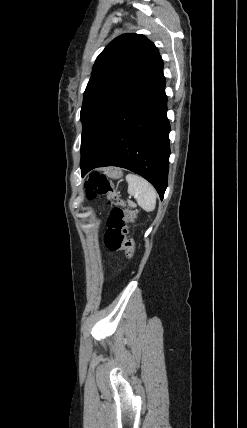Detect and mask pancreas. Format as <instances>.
Segmentation results:
<instances>
[{
  "label": "pancreas",
  "mask_w": 247,
  "mask_h": 428,
  "mask_svg": "<svg viewBox=\"0 0 247 428\" xmlns=\"http://www.w3.org/2000/svg\"><path fill=\"white\" fill-rule=\"evenodd\" d=\"M128 205L133 207V208L136 207L135 203H133L132 201H128Z\"/></svg>",
  "instance_id": "1"
}]
</instances>
